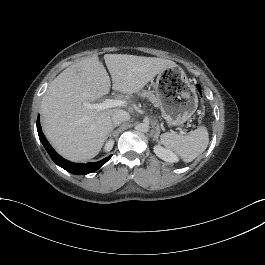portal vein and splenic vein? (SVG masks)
Returning <instances> with one entry per match:
<instances>
[{"mask_svg": "<svg viewBox=\"0 0 265 265\" xmlns=\"http://www.w3.org/2000/svg\"><path fill=\"white\" fill-rule=\"evenodd\" d=\"M127 102L125 100H114V99H106L102 103L90 104L89 102H83V106L88 109H94L97 111H101L108 108L114 107H123L126 106Z\"/></svg>", "mask_w": 265, "mask_h": 265, "instance_id": "1", "label": "portal vein and splenic vein"}]
</instances>
